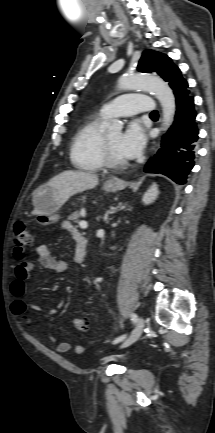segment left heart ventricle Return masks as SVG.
<instances>
[{
	"mask_svg": "<svg viewBox=\"0 0 215 433\" xmlns=\"http://www.w3.org/2000/svg\"><path fill=\"white\" fill-rule=\"evenodd\" d=\"M120 136H121L120 132H114V133H110V134L106 135L107 141L109 143V146H110L113 154L119 159H124V157L118 151V142H119Z\"/></svg>",
	"mask_w": 215,
	"mask_h": 433,
	"instance_id": "obj_1",
	"label": "left heart ventricle"
}]
</instances>
